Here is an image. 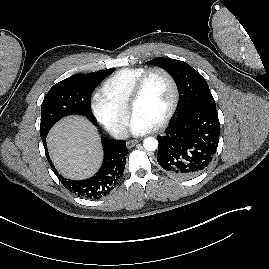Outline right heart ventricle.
<instances>
[{
    "label": "right heart ventricle",
    "mask_w": 269,
    "mask_h": 269,
    "mask_svg": "<svg viewBox=\"0 0 269 269\" xmlns=\"http://www.w3.org/2000/svg\"><path fill=\"white\" fill-rule=\"evenodd\" d=\"M146 67H127L111 75L102 85V93L116 105L127 109L133 88Z\"/></svg>",
    "instance_id": "1"
}]
</instances>
